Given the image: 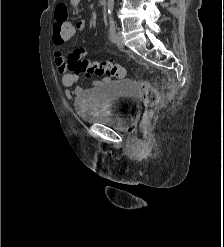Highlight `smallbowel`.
<instances>
[{
	"mask_svg": "<svg viewBox=\"0 0 224 247\" xmlns=\"http://www.w3.org/2000/svg\"><path fill=\"white\" fill-rule=\"evenodd\" d=\"M74 4L77 3L79 0H71ZM87 25L86 19H80L74 24V30L75 34L78 32H81L85 29ZM69 40H63L59 39L56 36H53V43L57 47V50L54 53V61L57 68V71L60 75L61 84L63 87H65L67 90L65 92V95L68 99H72L75 96H77L80 92V88L71 89L75 82L78 80V74L69 72L68 68V61L67 57L65 55L63 46L68 42ZM103 81H107V78H104ZM98 83V82H97Z\"/></svg>",
	"mask_w": 224,
	"mask_h": 247,
	"instance_id": "1",
	"label": "small bowel"
}]
</instances>
